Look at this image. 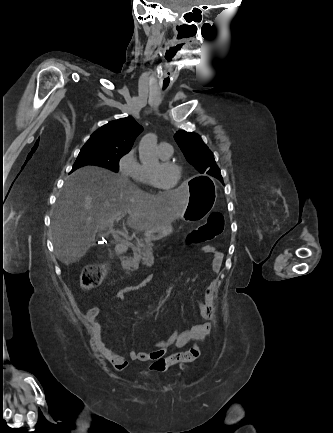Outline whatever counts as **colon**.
Returning a JSON list of instances; mask_svg holds the SVG:
<instances>
[{
    "label": "colon",
    "instance_id": "colon-1",
    "mask_svg": "<svg viewBox=\"0 0 333 433\" xmlns=\"http://www.w3.org/2000/svg\"><path fill=\"white\" fill-rule=\"evenodd\" d=\"M224 229V217L214 211L207 217L206 221L198 228L193 229L186 237V245H200L214 240ZM110 270L108 265H91L85 267L80 276V284L83 289H93L98 287L105 279ZM201 354L198 345L194 344L185 352L176 353L166 358H162L150 366L152 371L163 373L179 364L190 363L199 358Z\"/></svg>",
    "mask_w": 333,
    "mask_h": 433
}]
</instances>
